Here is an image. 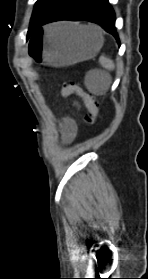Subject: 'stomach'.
<instances>
[{
  "label": "stomach",
  "mask_w": 148,
  "mask_h": 279,
  "mask_svg": "<svg viewBox=\"0 0 148 279\" xmlns=\"http://www.w3.org/2000/svg\"><path fill=\"white\" fill-rule=\"evenodd\" d=\"M46 34H32L39 39L28 44L27 55L36 66H53V69H68V65L90 59L95 56L103 44L100 30L87 33L80 26L61 23L44 24ZM50 29H59L52 33Z\"/></svg>",
  "instance_id": "stomach-1"
}]
</instances>
